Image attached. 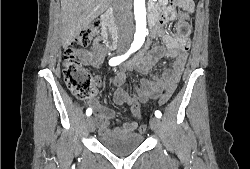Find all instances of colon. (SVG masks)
Masks as SVG:
<instances>
[{"instance_id":"colon-1","label":"colon","mask_w":250,"mask_h":169,"mask_svg":"<svg viewBox=\"0 0 250 169\" xmlns=\"http://www.w3.org/2000/svg\"><path fill=\"white\" fill-rule=\"evenodd\" d=\"M180 6L184 9H192L193 4L189 0L180 1ZM181 34H186L189 31V27L185 21H181L179 25ZM99 33V25L95 23L89 29L76 34L74 41L64 47L63 50V77L68 89L73 95L80 99H87L94 95V87L92 84V78L89 72L82 66L78 56L76 55V45L83 47H90L96 39ZM171 88V89H170ZM169 89H165L163 97H160L159 104H166L169 101L170 95H172V86ZM134 117L141 118L140 104L132 103ZM140 132L146 131V125H141Z\"/></svg>"}]
</instances>
